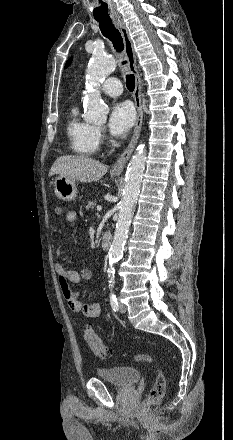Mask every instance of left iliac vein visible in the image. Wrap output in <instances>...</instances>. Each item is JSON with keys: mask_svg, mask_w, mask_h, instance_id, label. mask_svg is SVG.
Wrapping results in <instances>:
<instances>
[{"mask_svg": "<svg viewBox=\"0 0 233 440\" xmlns=\"http://www.w3.org/2000/svg\"><path fill=\"white\" fill-rule=\"evenodd\" d=\"M119 310H120V312L125 313L127 311L126 305L124 303L120 302L119 303Z\"/></svg>", "mask_w": 233, "mask_h": 440, "instance_id": "left-iliac-vein-1", "label": "left iliac vein"}]
</instances>
